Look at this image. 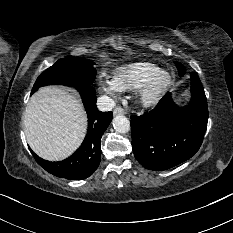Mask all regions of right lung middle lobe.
Instances as JSON below:
<instances>
[{
    "label": "right lung middle lobe",
    "instance_id": "dd1d6c3e",
    "mask_svg": "<svg viewBox=\"0 0 233 233\" xmlns=\"http://www.w3.org/2000/svg\"><path fill=\"white\" fill-rule=\"evenodd\" d=\"M94 64L91 60L81 57L60 59L37 78L31 94L39 87L50 84H62L76 88L91 86L96 76Z\"/></svg>",
    "mask_w": 233,
    "mask_h": 233
}]
</instances>
